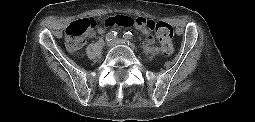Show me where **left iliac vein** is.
Instances as JSON below:
<instances>
[{
  "label": "left iliac vein",
  "mask_w": 255,
  "mask_h": 122,
  "mask_svg": "<svg viewBox=\"0 0 255 122\" xmlns=\"http://www.w3.org/2000/svg\"><path fill=\"white\" fill-rule=\"evenodd\" d=\"M114 43L119 44V43H121V40L117 38V39L114 40Z\"/></svg>",
  "instance_id": "left-iliac-vein-1"
}]
</instances>
